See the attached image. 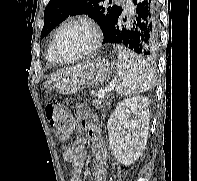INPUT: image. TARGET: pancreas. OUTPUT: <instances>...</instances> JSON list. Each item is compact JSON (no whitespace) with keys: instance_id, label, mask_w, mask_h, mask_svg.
<instances>
[{"instance_id":"obj_1","label":"pancreas","mask_w":197,"mask_h":181,"mask_svg":"<svg viewBox=\"0 0 197 181\" xmlns=\"http://www.w3.org/2000/svg\"><path fill=\"white\" fill-rule=\"evenodd\" d=\"M93 105L96 109H100L103 106V101L101 99H95Z\"/></svg>"}]
</instances>
